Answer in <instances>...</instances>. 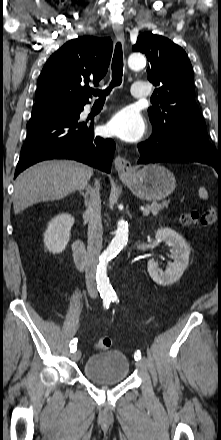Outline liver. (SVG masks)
<instances>
[{
    "label": "liver",
    "instance_id": "obj_1",
    "mask_svg": "<svg viewBox=\"0 0 221 440\" xmlns=\"http://www.w3.org/2000/svg\"><path fill=\"white\" fill-rule=\"evenodd\" d=\"M93 169L75 161H44L21 173L14 183L13 206L16 214L27 207L66 197L84 189Z\"/></svg>",
    "mask_w": 221,
    "mask_h": 440
}]
</instances>
